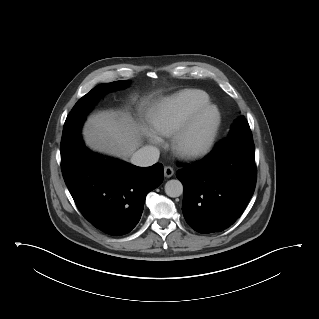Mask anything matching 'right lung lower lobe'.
I'll return each instance as SVG.
<instances>
[{"instance_id": "right-lung-lower-lobe-1", "label": "right lung lower lobe", "mask_w": 319, "mask_h": 319, "mask_svg": "<svg viewBox=\"0 0 319 319\" xmlns=\"http://www.w3.org/2000/svg\"><path fill=\"white\" fill-rule=\"evenodd\" d=\"M65 183L75 204L94 227L120 236L139 222L146 195L163 181V165L137 167L91 153L81 136L61 152Z\"/></svg>"}]
</instances>
